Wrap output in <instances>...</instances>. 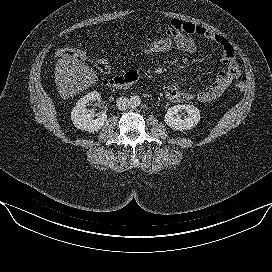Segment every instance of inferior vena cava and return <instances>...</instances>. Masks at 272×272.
Returning <instances> with one entry per match:
<instances>
[{
	"label": "inferior vena cava",
	"mask_w": 272,
	"mask_h": 272,
	"mask_svg": "<svg viewBox=\"0 0 272 272\" xmlns=\"http://www.w3.org/2000/svg\"><path fill=\"white\" fill-rule=\"evenodd\" d=\"M116 106L119 110H127L130 107V100L125 96H121L116 100Z\"/></svg>",
	"instance_id": "inferior-vena-cava-1"
}]
</instances>
